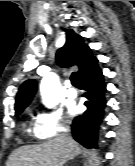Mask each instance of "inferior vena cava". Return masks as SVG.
Returning a JSON list of instances; mask_svg holds the SVG:
<instances>
[{
    "label": "inferior vena cava",
    "instance_id": "1",
    "mask_svg": "<svg viewBox=\"0 0 135 166\" xmlns=\"http://www.w3.org/2000/svg\"><path fill=\"white\" fill-rule=\"evenodd\" d=\"M60 137H61L62 139H65V138L67 137V134H62Z\"/></svg>",
    "mask_w": 135,
    "mask_h": 166
}]
</instances>
